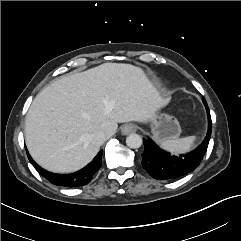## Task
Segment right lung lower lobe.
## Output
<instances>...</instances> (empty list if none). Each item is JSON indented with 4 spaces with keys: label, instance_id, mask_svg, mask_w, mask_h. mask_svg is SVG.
Wrapping results in <instances>:
<instances>
[{
    "label": "right lung lower lobe",
    "instance_id": "obj_1",
    "mask_svg": "<svg viewBox=\"0 0 241 241\" xmlns=\"http://www.w3.org/2000/svg\"><path fill=\"white\" fill-rule=\"evenodd\" d=\"M102 153L101 150L96 157L93 159L91 163H89L83 169L72 173V174H53L41 168L37 165L31 156L28 154V158L30 162L34 165L35 169L39 172L40 175L45 177L51 183L57 186H64V187H79L88 184L95 173L99 170L102 164Z\"/></svg>",
    "mask_w": 241,
    "mask_h": 241
}]
</instances>
